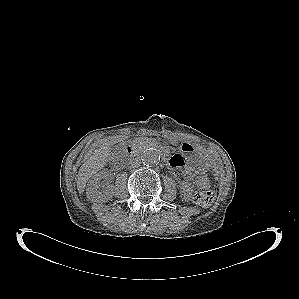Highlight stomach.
Wrapping results in <instances>:
<instances>
[{
  "instance_id": "0dacf381",
  "label": "stomach",
  "mask_w": 299,
  "mask_h": 299,
  "mask_svg": "<svg viewBox=\"0 0 299 299\" xmlns=\"http://www.w3.org/2000/svg\"><path fill=\"white\" fill-rule=\"evenodd\" d=\"M183 149L188 155L191 165L196 170H204L207 166V154L204 150L189 143L183 145Z\"/></svg>"
}]
</instances>
